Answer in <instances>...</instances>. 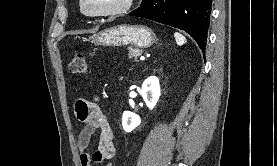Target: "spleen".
Listing matches in <instances>:
<instances>
[{
	"label": "spleen",
	"instance_id": "3e777b00",
	"mask_svg": "<svg viewBox=\"0 0 277 166\" xmlns=\"http://www.w3.org/2000/svg\"><path fill=\"white\" fill-rule=\"evenodd\" d=\"M174 37H175L176 43H177L179 46L184 45V44L187 42L186 38H185L182 34H180V33H178V32H176V33L174 34Z\"/></svg>",
	"mask_w": 277,
	"mask_h": 166
}]
</instances>
